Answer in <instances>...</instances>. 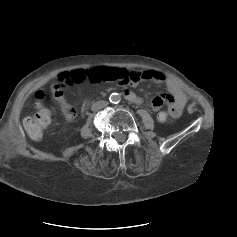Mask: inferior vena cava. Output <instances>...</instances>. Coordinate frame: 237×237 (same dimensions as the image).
<instances>
[{
  "mask_svg": "<svg viewBox=\"0 0 237 237\" xmlns=\"http://www.w3.org/2000/svg\"><path fill=\"white\" fill-rule=\"evenodd\" d=\"M107 105H108L107 101H103V100L97 101V102L92 104L91 110L92 111H97V110H100V109L106 107Z\"/></svg>",
  "mask_w": 237,
  "mask_h": 237,
  "instance_id": "inferior-vena-cava-1",
  "label": "inferior vena cava"
}]
</instances>
